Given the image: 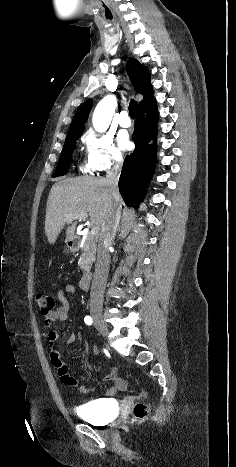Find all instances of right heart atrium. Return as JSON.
I'll list each match as a JSON object with an SVG mask.
<instances>
[{
    "mask_svg": "<svg viewBox=\"0 0 236 467\" xmlns=\"http://www.w3.org/2000/svg\"><path fill=\"white\" fill-rule=\"evenodd\" d=\"M82 142L86 152V166L92 171H107L121 163V155L111 136L91 131L83 136Z\"/></svg>",
    "mask_w": 236,
    "mask_h": 467,
    "instance_id": "1",
    "label": "right heart atrium"
}]
</instances>
